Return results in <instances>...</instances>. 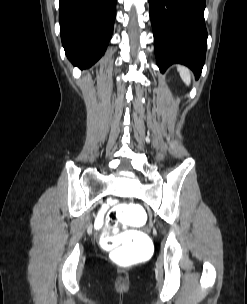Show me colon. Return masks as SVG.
<instances>
[{
	"instance_id": "5ec220e1",
	"label": "colon",
	"mask_w": 247,
	"mask_h": 304,
	"mask_svg": "<svg viewBox=\"0 0 247 304\" xmlns=\"http://www.w3.org/2000/svg\"><path fill=\"white\" fill-rule=\"evenodd\" d=\"M109 217L105 221V229L98 237L97 242L101 246V253H111L116 262H129L135 259H152L155 251V241L144 233L143 229H126L120 240L112 236L119 225H148L149 214L143 210L141 202H118L106 211Z\"/></svg>"
}]
</instances>
